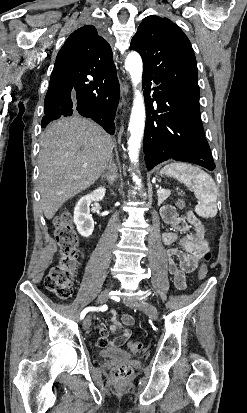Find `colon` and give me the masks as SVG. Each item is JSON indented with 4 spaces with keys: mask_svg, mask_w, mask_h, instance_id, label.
Masks as SVG:
<instances>
[{
    "mask_svg": "<svg viewBox=\"0 0 247 413\" xmlns=\"http://www.w3.org/2000/svg\"><path fill=\"white\" fill-rule=\"evenodd\" d=\"M179 207L184 205L183 199L172 202ZM70 212H62L55 218L56 241L60 248V261L53 265L44 279V286L47 290L53 292L61 300H68L72 296V285L76 279L77 259H78V236L74 230ZM206 258V262L211 261L212 252ZM199 276L204 277L208 271L207 265H201ZM132 352L141 349V344L131 340L127 343ZM128 366L122 365L114 369V381H131L132 375Z\"/></svg>",
    "mask_w": 247,
    "mask_h": 413,
    "instance_id": "obj_1",
    "label": "colon"
}]
</instances>
